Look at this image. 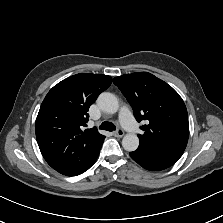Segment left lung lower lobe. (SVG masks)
I'll use <instances>...</instances> for the list:
<instances>
[{"label": "left lung lower lobe", "mask_w": 223, "mask_h": 223, "mask_svg": "<svg viewBox=\"0 0 223 223\" xmlns=\"http://www.w3.org/2000/svg\"><path fill=\"white\" fill-rule=\"evenodd\" d=\"M129 154L139 165L151 171L166 169L177 162L174 159L156 156L138 150L130 152Z\"/></svg>", "instance_id": "1"}]
</instances>
